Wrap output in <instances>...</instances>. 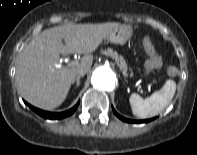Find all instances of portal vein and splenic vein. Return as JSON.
Segmentation results:
<instances>
[{
  "label": "portal vein and splenic vein",
  "instance_id": "portal-vein-and-splenic-vein-1",
  "mask_svg": "<svg viewBox=\"0 0 197 155\" xmlns=\"http://www.w3.org/2000/svg\"><path fill=\"white\" fill-rule=\"evenodd\" d=\"M78 64V61H72L68 64L69 67L71 66H74V65H77Z\"/></svg>",
  "mask_w": 197,
  "mask_h": 155
}]
</instances>
